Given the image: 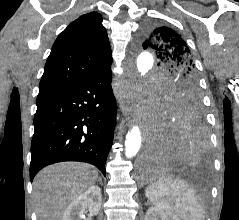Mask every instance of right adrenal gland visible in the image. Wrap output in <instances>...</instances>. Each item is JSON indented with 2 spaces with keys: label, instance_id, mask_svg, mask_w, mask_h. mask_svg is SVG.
Here are the masks:
<instances>
[{
  "label": "right adrenal gland",
  "instance_id": "right-adrenal-gland-1",
  "mask_svg": "<svg viewBox=\"0 0 239 220\" xmlns=\"http://www.w3.org/2000/svg\"><path fill=\"white\" fill-rule=\"evenodd\" d=\"M98 182L103 185L101 178H98Z\"/></svg>",
  "mask_w": 239,
  "mask_h": 220
}]
</instances>
